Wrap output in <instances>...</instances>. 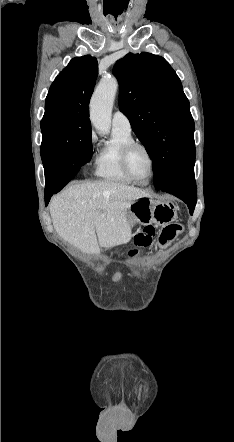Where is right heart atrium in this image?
<instances>
[{"label": "right heart atrium", "instance_id": "d8ad5b80", "mask_svg": "<svg viewBox=\"0 0 234 442\" xmlns=\"http://www.w3.org/2000/svg\"><path fill=\"white\" fill-rule=\"evenodd\" d=\"M95 141H96L95 135L92 134L91 135V144H92V146H94Z\"/></svg>", "mask_w": 234, "mask_h": 442}]
</instances>
